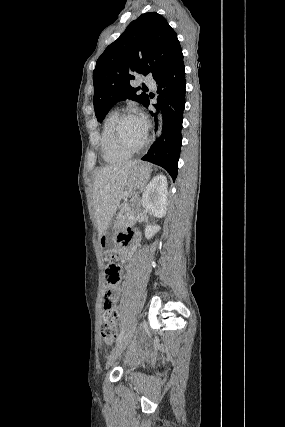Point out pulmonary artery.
<instances>
[{"label":"pulmonary artery","mask_w":285,"mask_h":427,"mask_svg":"<svg viewBox=\"0 0 285 427\" xmlns=\"http://www.w3.org/2000/svg\"><path fill=\"white\" fill-rule=\"evenodd\" d=\"M143 82H144L146 85H150V86H154V85H155V81H154L152 78H149V77L145 78V79L143 80Z\"/></svg>","instance_id":"e3ab8cb5"}]
</instances>
